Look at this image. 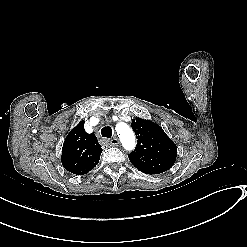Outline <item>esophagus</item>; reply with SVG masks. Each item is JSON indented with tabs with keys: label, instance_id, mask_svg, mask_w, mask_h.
Here are the masks:
<instances>
[{
	"label": "esophagus",
	"instance_id": "1",
	"mask_svg": "<svg viewBox=\"0 0 247 247\" xmlns=\"http://www.w3.org/2000/svg\"><path fill=\"white\" fill-rule=\"evenodd\" d=\"M111 145L118 146L120 144V141L118 138H114L110 141Z\"/></svg>",
	"mask_w": 247,
	"mask_h": 247
}]
</instances>
